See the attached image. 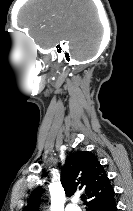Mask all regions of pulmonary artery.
Returning a JSON list of instances; mask_svg holds the SVG:
<instances>
[{
	"mask_svg": "<svg viewBox=\"0 0 133 211\" xmlns=\"http://www.w3.org/2000/svg\"><path fill=\"white\" fill-rule=\"evenodd\" d=\"M76 201L68 204L65 208V211H81V209L75 204Z\"/></svg>",
	"mask_w": 133,
	"mask_h": 211,
	"instance_id": "pulmonary-artery-1",
	"label": "pulmonary artery"
}]
</instances>
